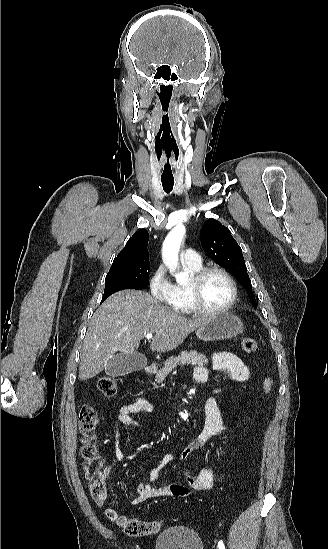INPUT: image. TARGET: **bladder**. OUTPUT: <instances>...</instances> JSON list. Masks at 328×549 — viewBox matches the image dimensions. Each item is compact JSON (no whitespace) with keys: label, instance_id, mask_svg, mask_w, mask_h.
<instances>
[{"label":"bladder","instance_id":"31cf9c89","mask_svg":"<svg viewBox=\"0 0 328 549\" xmlns=\"http://www.w3.org/2000/svg\"><path fill=\"white\" fill-rule=\"evenodd\" d=\"M189 532L192 534L189 535ZM156 549H202V542L197 532L175 527L158 535Z\"/></svg>","mask_w":328,"mask_h":549}]
</instances>
